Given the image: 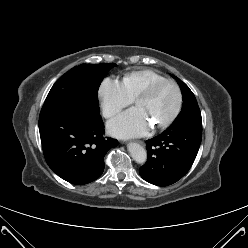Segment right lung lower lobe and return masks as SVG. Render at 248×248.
<instances>
[{
    "label": "right lung lower lobe",
    "mask_w": 248,
    "mask_h": 248,
    "mask_svg": "<svg viewBox=\"0 0 248 248\" xmlns=\"http://www.w3.org/2000/svg\"><path fill=\"white\" fill-rule=\"evenodd\" d=\"M39 131L49 167L62 179L83 185L104 170V156L118 141L105 138L99 106L83 103L39 119Z\"/></svg>",
    "instance_id": "98d812e1"
}]
</instances>
